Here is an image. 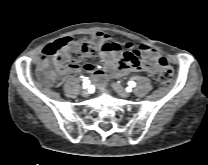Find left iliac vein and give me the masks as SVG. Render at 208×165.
<instances>
[{
    "label": "left iliac vein",
    "mask_w": 208,
    "mask_h": 165,
    "mask_svg": "<svg viewBox=\"0 0 208 165\" xmlns=\"http://www.w3.org/2000/svg\"><path fill=\"white\" fill-rule=\"evenodd\" d=\"M113 87L121 97H123V98L130 97V95H131L130 92H128L126 89H124L121 85L114 83Z\"/></svg>",
    "instance_id": "obj_1"
}]
</instances>
